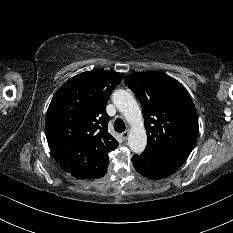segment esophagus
Returning <instances> with one entry per match:
<instances>
[{
  "instance_id": "obj_1",
  "label": "esophagus",
  "mask_w": 233,
  "mask_h": 233,
  "mask_svg": "<svg viewBox=\"0 0 233 233\" xmlns=\"http://www.w3.org/2000/svg\"><path fill=\"white\" fill-rule=\"evenodd\" d=\"M128 136H129V131L128 130H126L123 133H121V137H122V139L124 141L127 140Z\"/></svg>"
}]
</instances>
